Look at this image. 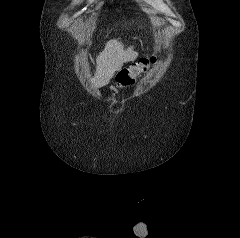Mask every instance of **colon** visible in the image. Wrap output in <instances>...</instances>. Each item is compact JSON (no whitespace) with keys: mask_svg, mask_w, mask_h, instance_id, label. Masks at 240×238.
I'll return each mask as SVG.
<instances>
[{"mask_svg":"<svg viewBox=\"0 0 240 238\" xmlns=\"http://www.w3.org/2000/svg\"><path fill=\"white\" fill-rule=\"evenodd\" d=\"M156 62L157 58L154 56L140 58L117 73L113 87L124 88L132 85L137 77L147 72Z\"/></svg>","mask_w":240,"mask_h":238,"instance_id":"obj_1","label":"colon"}]
</instances>
